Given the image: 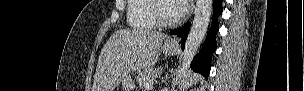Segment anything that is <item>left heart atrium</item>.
<instances>
[{
    "mask_svg": "<svg viewBox=\"0 0 304 91\" xmlns=\"http://www.w3.org/2000/svg\"><path fill=\"white\" fill-rule=\"evenodd\" d=\"M175 2L177 4V9H178L179 15H184L188 11L191 1H189V0H176Z\"/></svg>",
    "mask_w": 304,
    "mask_h": 91,
    "instance_id": "39dd6f15",
    "label": "left heart atrium"
}]
</instances>
